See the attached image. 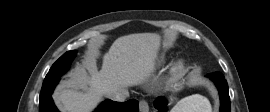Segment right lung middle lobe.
Wrapping results in <instances>:
<instances>
[{
    "instance_id": "1",
    "label": "right lung middle lobe",
    "mask_w": 270,
    "mask_h": 112,
    "mask_svg": "<svg viewBox=\"0 0 270 112\" xmlns=\"http://www.w3.org/2000/svg\"><path fill=\"white\" fill-rule=\"evenodd\" d=\"M76 56V51H68L63 54L51 67L47 73L45 80L46 82H58L60 77L69 69L72 60Z\"/></svg>"
}]
</instances>
